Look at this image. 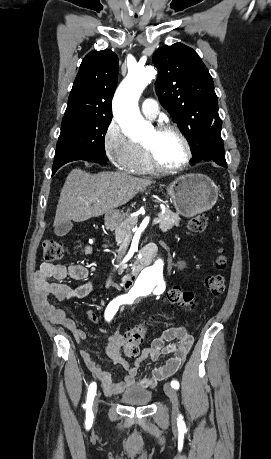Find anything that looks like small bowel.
Instances as JSON below:
<instances>
[{"label":"small bowel","instance_id":"1","mask_svg":"<svg viewBox=\"0 0 271 459\" xmlns=\"http://www.w3.org/2000/svg\"><path fill=\"white\" fill-rule=\"evenodd\" d=\"M96 251V246L86 245L80 249L79 253L89 255ZM88 274V269L83 265L64 266L44 263L35 275V288L45 316L53 324L69 330L78 343H82L86 339V334L76 327L75 322L68 318L63 310L51 304L49 298L53 296L59 301L85 298L94 289V282L89 281L77 287H70L60 281L66 278L79 281L86 280ZM50 279L57 282H50ZM88 317L93 323L100 324L99 317L93 311H88ZM103 331L106 332V329L103 328ZM193 343V336L184 327H170L155 338L148 348L143 349L140 357L134 364H131L121 354L124 336L117 332L110 334L105 345V351L115 364L122 366L126 371L125 377L119 382H114L111 372L104 370L88 351L81 350V357L88 370L99 380L106 396H114L132 387L153 388L158 381L172 376L186 359ZM162 355L167 356L166 361L155 367L151 376L139 377L138 371L143 361L156 362Z\"/></svg>","mask_w":271,"mask_h":459}]
</instances>
